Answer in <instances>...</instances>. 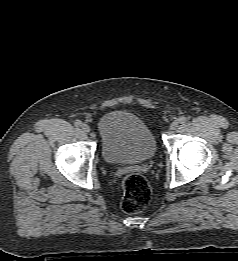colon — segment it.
<instances>
[{
    "mask_svg": "<svg viewBox=\"0 0 238 261\" xmlns=\"http://www.w3.org/2000/svg\"><path fill=\"white\" fill-rule=\"evenodd\" d=\"M123 189L121 208L125 213H138L148 205L151 189L144 176L138 173L128 174L123 180Z\"/></svg>",
    "mask_w": 238,
    "mask_h": 261,
    "instance_id": "colon-1",
    "label": "colon"
}]
</instances>
